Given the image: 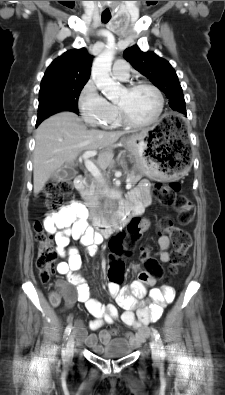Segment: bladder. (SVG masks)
I'll use <instances>...</instances> for the list:
<instances>
[{
  "label": "bladder",
  "instance_id": "31cf9c89",
  "mask_svg": "<svg viewBox=\"0 0 225 395\" xmlns=\"http://www.w3.org/2000/svg\"><path fill=\"white\" fill-rule=\"evenodd\" d=\"M134 347L124 338H114L102 346H97L95 352L97 355L105 358H119L132 353Z\"/></svg>",
  "mask_w": 225,
  "mask_h": 395
}]
</instances>
